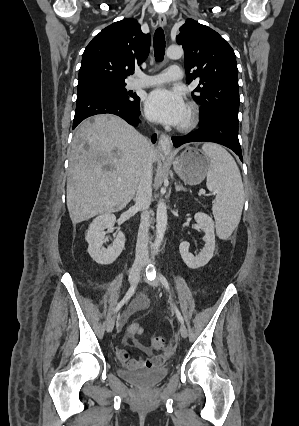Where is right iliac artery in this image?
<instances>
[{"label":"right iliac artery","instance_id":"82829eb1","mask_svg":"<svg viewBox=\"0 0 299 426\" xmlns=\"http://www.w3.org/2000/svg\"><path fill=\"white\" fill-rule=\"evenodd\" d=\"M135 290H136V284L132 285L129 288V290L127 291V293L124 296V298L115 307L114 313L118 312L122 308V306L132 297V295L134 294Z\"/></svg>","mask_w":299,"mask_h":426}]
</instances>
